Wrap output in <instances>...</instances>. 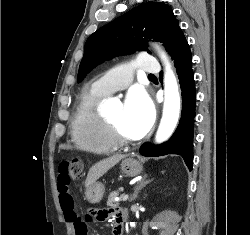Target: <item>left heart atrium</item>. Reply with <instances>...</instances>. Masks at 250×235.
Listing matches in <instances>:
<instances>
[{
    "label": "left heart atrium",
    "instance_id": "obj_1",
    "mask_svg": "<svg viewBox=\"0 0 250 235\" xmlns=\"http://www.w3.org/2000/svg\"><path fill=\"white\" fill-rule=\"evenodd\" d=\"M125 121L136 138L145 135L151 128L155 110L153 103L145 91L131 90L124 104Z\"/></svg>",
    "mask_w": 250,
    "mask_h": 235
}]
</instances>
